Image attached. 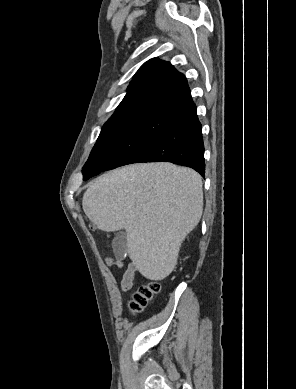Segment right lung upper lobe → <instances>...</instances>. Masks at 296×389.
Returning <instances> with one entry per match:
<instances>
[{
  "mask_svg": "<svg viewBox=\"0 0 296 389\" xmlns=\"http://www.w3.org/2000/svg\"><path fill=\"white\" fill-rule=\"evenodd\" d=\"M194 111L185 76L170 63L153 58L137 71L110 119L156 114L178 120Z\"/></svg>",
  "mask_w": 296,
  "mask_h": 389,
  "instance_id": "cb5924a9",
  "label": "right lung upper lobe"
}]
</instances>
